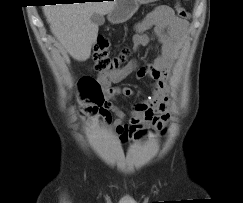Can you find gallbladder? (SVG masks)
Returning <instances> with one entry per match:
<instances>
[{"instance_id": "gallbladder-1", "label": "gallbladder", "mask_w": 243, "mask_h": 203, "mask_svg": "<svg viewBox=\"0 0 243 203\" xmlns=\"http://www.w3.org/2000/svg\"><path fill=\"white\" fill-rule=\"evenodd\" d=\"M91 21H92V23H94L95 25L100 26V25H103V24H104L105 19H104L103 15L94 13V14L91 16Z\"/></svg>"}]
</instances>
